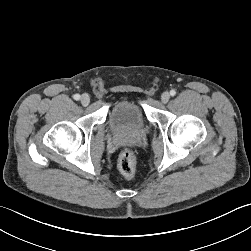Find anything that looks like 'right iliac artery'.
<instances>
[{
    "label": "right iliac artery",
    "instance_id": "82829eb1",
    "mask_svg": "<svg viewBox=\"0 0 251 251\" xmlns=\"http://www.w3.org/2000/svg\"><path fill=\"white\" fill-rule=\"evenodd\" d=\"M73 98H74L75 100H79V99H80V95H79V94H75V95L73 96Z\"/></svg>",
    "mask_w": 251,
    "mask_h": 251
}]
</instances>
